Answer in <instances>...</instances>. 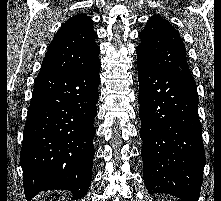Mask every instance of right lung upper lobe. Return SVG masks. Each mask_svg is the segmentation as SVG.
<instances>
[{
    "instance_id": "1",
    "label": "right lung upper lobe",
    "mask_w": 221,
    "mask_h": 201,
    "mask_svg": "<svg viewBox=\"0 0 221 201\" xmlns=\"http://www.w3.org/2000/svg\"><path fill=\"white\" fill-rule=\"evenodd\" d=\"M97 33L85 14L69 18L53 38L40 72L77 73L100 65Z\"/></svg>"
}]
</instances>
